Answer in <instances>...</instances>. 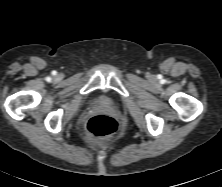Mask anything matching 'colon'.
I'll return each mask as SVG.
<instances>
[{
	"instance_id": "obj_1",
	"label": "colon",
	"mask_w": 222,
	"mask_h": 187,
	"mask_svg": "<svg viewBox=\"0 0 222 187\" xmlns=\"http://www.w3.org/2000/svg\"><path fill=\"white\" fill-rule=\"evenodd\" d=\"M117 130V121L109 115L92 116L86 124L87 134L98 140H110Z\"/></svg>"
}]
</instances>
